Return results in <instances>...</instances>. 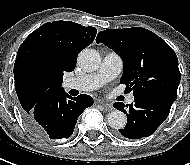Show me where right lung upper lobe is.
<instances>
[{
	"mask_svg": "<svg viewBox=\"0 0 190 165\" xmlns=\"http://www.w3.org/2000/svg\"><path fill=\"white\" fill-rule=\"evenodd\" d=\"M97 30L71 21L48 22L21 44L14 64L15 89L23 111L47 92L61 89L63 75L76 66L78 53Z\"/></svg>",
	"mask_w": 190,
	"mask_h": 165,
	"instance_id": "cb5924a9",
	"label": "right lung upper lobe"
}]
</instances>
